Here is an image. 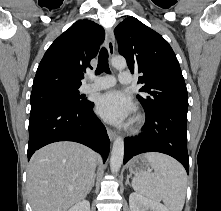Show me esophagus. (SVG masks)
I'll list each match as a JSON object with an SVG mask.
<instances>
[{
  "instance_id": "esophagus-1",
  "label": "esophagus",
  "mask_w": 221,
  "mask_h": 211,
  "mask_svg": "<svg viewBox=\"0 0 221 211\" xmlns=\"http://www.w3.org/2000/svg\"><path fill=\"white\" fill-rule=\"evenodd\" d=\"M106 46L109 53V56L112 57L115 52V41H114V34L112 29H108L106 31ZM107 133L109 136V139L113 141L116 138V132L112 129L108 128Z\"/></svg>"
}]
</instances>
